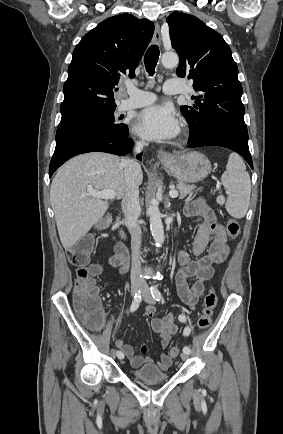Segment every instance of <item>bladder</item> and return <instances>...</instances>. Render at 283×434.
Segmentation results:
<instances>
[{
  "mask_svg": "<svg viewBox=\"0 0 283 434\" xmlns=\"http://www.w3.org/2000/svg\"><path fill=\"white\" fill-rule=\"evenodd\" d=\"M132 376L137 381L142 382H158L169 379V374L162 371L154 364L144 365L132 371Z\"/></svg>",
  "mask_w": 283,
  "mask_h": 434,
  "instance_id": "31cf9c89",
  "label": "bladder"
}]
</instances>
